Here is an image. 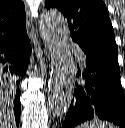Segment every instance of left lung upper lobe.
I'll list each match as a JSON object with an SVG mask.
<instances>
[{
    "mask_svg": "<svg viewBox=\"0 0 125 128\" xmlns=\"http://www.w3.org/2000/svg\"><path fill=\"white\" fill-rule=\"evenodd\" d=\"M67 18L71 38L84 54L116 56L118 48L106 5L102 0H45Z\"/></svg>",
    "mask_w": 125,
    "mask_h": 128,
    "instance_id": "5c2ea615",
    "label": "left lung upper lobe"
}]
</instances>
